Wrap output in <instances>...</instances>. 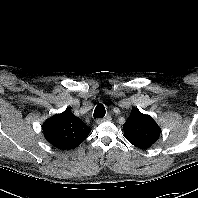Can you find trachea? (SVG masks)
<instances>
[{"instance_id":"trachea-1","label":"trachea","mask_w":198,"mask_h":198,"mask_svg":"<svg viewBox=\"0 0 198 198\" xmlns=\"http://www.w3.org/2000/svg\"><path fill=\"white\" fill-rule=\"evenodd\" d=\"M106 114V110L103 104H98L94 110V118H103Z\"/></svg>"}]
</instances>
